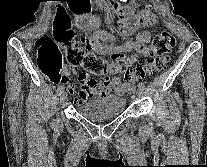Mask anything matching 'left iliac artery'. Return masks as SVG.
Returning <instances> with one entry per match:
<instances>
[{
  "label": "left iliac artery",
  "mask_w": 207,
  "mask_h": 167,
  "mask_svg": "<svg viewBox=\"0 0 207 167\" xmlns=\"http://www.w3.org/2000/svg\"><path fill=\"white\" fill-rule=\"evenodd\" d=\"M138 87L141 88L142 90H144L145 84L143 82H139Z\"/></svg>",
  "instance_id": "1"
}]
</instances>
